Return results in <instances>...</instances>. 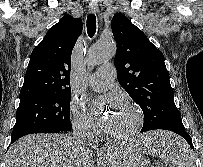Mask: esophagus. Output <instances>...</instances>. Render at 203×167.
Listing matches in <instances>:
<instances>
[{"label": "esophagus", "mask_w": 203, "mask_h": 167, "mask_svg": "<svg viewBox=\"0 0 203 167\" xmlns=\"http://www.w3.org/2000/svg\"><path fill=\"white\" fill-rule=\"evenodd\" d=\"M88 8H89V11H90L91 13H96V12H98V5L95 4V3H90ZM107 150H108V147H107L106 145H104V146H102V147L100 148V151H101V152H106Z\"/></svg>", "instance_id": "34e87169"}]
</instances>
